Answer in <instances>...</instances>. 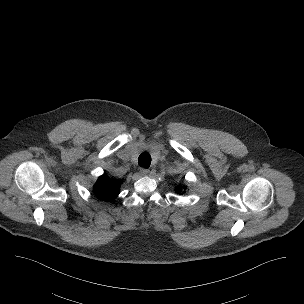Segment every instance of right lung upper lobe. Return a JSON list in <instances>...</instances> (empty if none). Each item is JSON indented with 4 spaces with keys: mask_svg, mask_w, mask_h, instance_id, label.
Segmentation results:
<instances>
[{
    "mask_svg": "<svg viewBox=\"0 0 304 304\" xmlns=\"http://www.w3.org/2000/svg\"><path fill=\"white\" fill-rule=\"evenodd\" d=\"M121 181L112 180L106 174L100 176L93 187L95 195L105 201L114 200L118 194L120 189Z\"/></svg>",
    "mask_w": 304,
    "mask_h": 304,
    "instance_id": "right-lung-upper-lobe-1",
    "label": "right lung upper lobe"
}]
</instances>
